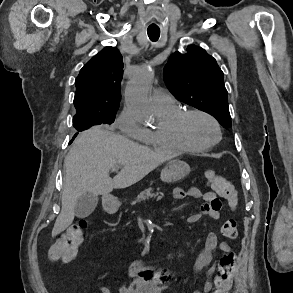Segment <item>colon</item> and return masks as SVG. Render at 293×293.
<instances>
[{
    "mask_svg": "<svg viewBox=\"0 0 293 293\" xmlns=\"http://www.w3.org/2000/svg\"><path fill=\"white\" fill-rule=\"evenodd\" d=\"M205 175L210 187L226 199L232 209L236 208L239 204V195L232 182L213 170H208ZM89 228L90 223L84 218L69 227L50 247L49 258L61 260L64 263L72 261L78 246L88 234ZM221 231L227 238H236L238 234L236 222L234 220L226 221ZM235 271V253L227 251L219 260L212 293H228L232 286Z\"/></svg>",
    "mask_w": 293,
    "mask_h": 293,
    "instance_id": "5ec220e1",
    "label": "colon"
}]
</instances>
